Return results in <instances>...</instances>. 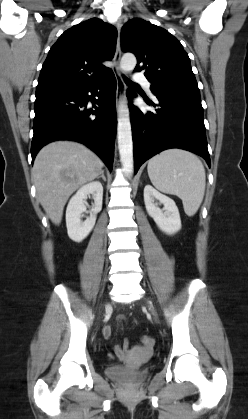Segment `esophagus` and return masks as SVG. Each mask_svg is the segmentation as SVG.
I'll return each mask as SVG.
<instances>
[{
    "label": "esophagus",
    "instance_id": "1",
    "mask_svg": "<svg viewBox=\"0 0 248 419\" xmlns=\"http://www.w3.org/2000/svg\"><path fill=\"white\" fill-rule=\"evenodd\" d=\"M116 28H117V41H116V50L114 55V74L116 77L117 89H116V103L118 104L126 90V85L123 79V72L120 67V59H121V28L122 23L121 20L118 19L116 21Z\"/></svg>",
    "mask_w": 248,
    "mask_h": 419
}]
</instances>
